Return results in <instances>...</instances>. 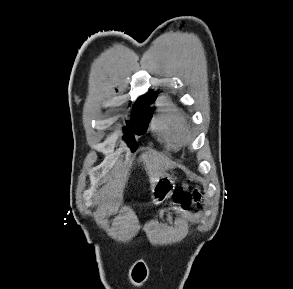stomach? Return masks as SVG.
Wrapping results in <instances>:
<instances>
[{
  "label": "stomach",
  "mask_w": 293,
  "mask_h": 289,
  "mask_svg": "<svg viewBox=\"0 0 293 289\" xmlns=\"http://www.w3.org/2000/svg\"><path fill=\"white\" fill-rule=\"evenodd\" d=\"M175 188L174 179L169 175L162 176L152 188V203L159 205L168 199Z\"/></svg>",
  "instance_id": "0dacf381"
}]
</instances>
